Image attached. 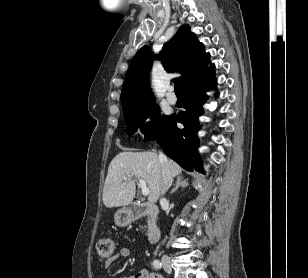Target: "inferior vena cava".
Returning a JSON list of instances; mask_svg holds the SVG:
<instances>
[{
	"label": "inferior vena cava",
	"mask_w": 308,
	"mask_h": 278,
	"mask_svg": "<svg viewBox=\"0 0 308 278\" xmlns=\"http://www.w3.org/2000/svg\"><path fill=\"white\" fill-rule=\"evenodd\" d=\"M158 157H159V161L162 165L163 183H162L161 193L164 194L172 184V176H171L169 169H168V159H167L166 155L163 154L162 152H159Z\"/></svg>",
	"instance_id": "1"
}]
</instances>
